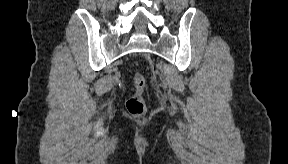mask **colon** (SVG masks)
<instances>
[{
	"mask_svg": "<svg viewBox=\"0 0 288 164\" xmlns=\"http://www.w3.org/2000/svg\"><path fill=\"white\" fill-rule=\"evenodd\" d=\"M135 92L127 99L126 109L132 116H143L146 113L145 92L147 90V82L145 77L140 73L133 76Z\"/></svg>",
	"mask_w": 288,
	"mask_h": 164,
	"instance_id": "1",
	"label": "colon"
}]
</instances>
